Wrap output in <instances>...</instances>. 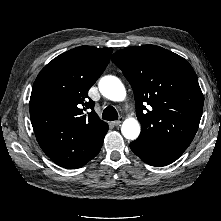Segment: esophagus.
I'll return each mask as SVG.
<instances>
[{
  "label": "esophagus",
  "mask_w": 221,
  "mask_h": 221,
  "mask_svg": "<svg viewBox=\"0 0 221 221\" xmlns=\"http://www.w3.org/2000/svg\"><path fill=\"white\" fill-rule=\"evenodd\" d=\"M123 120H124V118L120 117L117 121H113L112 123L114 126H118L123 122Z\"/></svg>",
  "instance_id": "1"
}]
</instances>
